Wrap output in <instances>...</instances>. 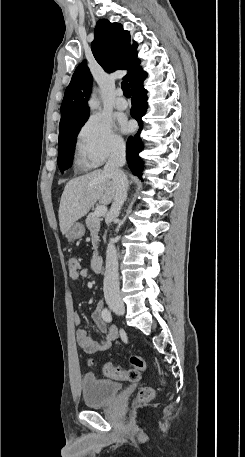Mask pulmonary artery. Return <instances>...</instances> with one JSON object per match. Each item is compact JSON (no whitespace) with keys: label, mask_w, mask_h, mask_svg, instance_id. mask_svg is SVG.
I'll return each mask as SVG.
<instances>
[{"label":"pulmonary artery","mask_w":245,"mask_h":457,"mask_svg":"<svg viewBox=\"0 0 245 457\" xmlns=\"http://www.w3.org/2000/svg\"><path fill=\"white\" fill-rule=\"evenodd\" d=\"M116 95H117V97H116L115 103H114L115 107L119 110L126 109L128 103H127V100L124 97H122V91L118 90L116 92Z\"/></svg>","instance_id":"obj_1"}]
</instances>
